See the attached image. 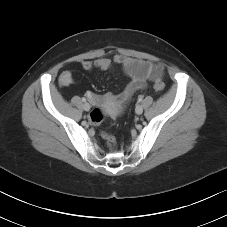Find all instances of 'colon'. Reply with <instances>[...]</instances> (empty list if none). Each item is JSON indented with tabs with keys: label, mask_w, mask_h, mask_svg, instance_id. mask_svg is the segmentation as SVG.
Returning <instances> with one entry per match:
<instances>
[{
	"label": "colon",
	"mask_w": 227,
	"mask_h": 227,
	"mask_svg": "<svg viewBox=\"0 0 227 227\" xmlns=\"http://www.w3.org/2000/svg\"><path fill=\"white\" fill-rule=\"evenodd\" d=\"M154 88L157 92H163L164 89H165V84L160 81V80H157L154 84ZM90 122L92 125L94 126H101L104 122V115H103V112L100 108H95L91 115H90ZM102 137L103 139L105 140L106 144L108 145L109 148H114L115 145H116V140H115V137L110 133L108 132L107 130H104L102 132Z\"/></svg>",
	"instance_id": "colon-1"
}]
</instances>
